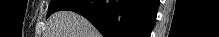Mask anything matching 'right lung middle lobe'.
<instances>
[{
    "mask_svg": "<svg viewBox=\"0 0 219 37\" xmlns=\"http://www.w3.org/2000/svg\"><path fill=\"white\" fill-rule=\"evenodd\" d=\"M69 1L66 0H52L50 2V7L48 9L47 17H49L51 14L57 12L60 10V8L66 4Z\"/></svg>",
    "mask_w": 219,
    "mask_h": 37,
    "instance_id": "obj_1",
    "label": "right lung middle lobe"
}]
</instances>
